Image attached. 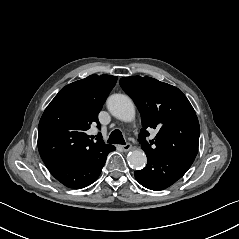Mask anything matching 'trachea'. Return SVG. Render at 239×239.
<instances>
[{"label": "trachea", "instance_id": "obj_1", "mask_svg": "<svg viewBox=\"0 0 239 239\" xmlns=\"http://www.w3.org/2000/svg\"><path fill=\"white\" fill-rule=\"evenodd\" d=\"M107 142L125 145V140L123 138L122 132L118 129H115L113 132H111Z\"/></svg>", "mask_w": 239, "mask_h": 239}]
</instances>
